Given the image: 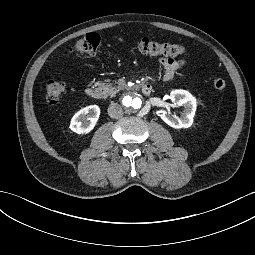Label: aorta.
Here are the masks:
<instances>
[{
    "instance_id": "762f6f07",
    "label": "aorta",
    "mask_w": 255,
    "mask_h": 255,
    "mask_svg": "<svg viewBox=\"0 0 255 255\" xmlns=\"http://www.w3.org/2000/svg\"><path fill=\"white\" fill-rule=\"evenodd\" d=\"M123 104L131 111H137L143 106L142 98L136 93L125 96L123 98Z\"/></svg>"
}]
</instances>
